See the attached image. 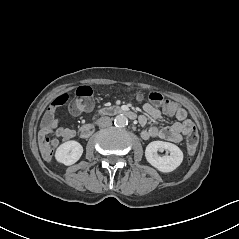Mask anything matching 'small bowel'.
<instances>
[{"label": "small bowel", "instance_id": "obj_1", "mask_svg": "<svg viewBox=\"0 0 239 239\" xmlns=\"http://www.w3.org/2000/svg\"><path fill=\"white\" fill-rule=\"evenodd\" d=\"M143 110L155 120L160 119L162 116L160 109L151 103L144 104ZM167 115L174 116L176 121L170 126L162 128L155 126L146 127L142 130V138L148 140L153 137H158L166 141L178 143L195 129L193 122L188 119L187 112L183 108H177L173 114ZM138 121L140 125L144 127L147 123V118L144 115H140ZM51 134H53L55 138L49 139L48 136ZM75 135L76 132L74 130L60 125L58 120H53L49 125L43 126L38 137L43 158L47 161L52 158L54 150L59 146L58 138L69 140L75 137Z\"/></svg>", "mask_w": 239, "mask_h": 239}]
</instances>
